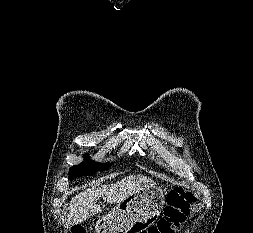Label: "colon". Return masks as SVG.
<instances>
[{
	"label": "colon",
	"instance_id": "obj_1",
	"mask_svg": "<svg viewBox=\"0 0 253 233\" xmlns=\"http://www.w3.org/2000/svg\"><path fill=\"white\" fill-rule=\"evenodd\" d=\"M195 198L182 189H173L168 193L167 205L163 217L155 226L150 227L143 233H173L179 227L190 212ZM72 233H87L82 225H75Z\"/></svg>",
	"mask_w": 253,
	"mask_h": 233
}]
</instances>
